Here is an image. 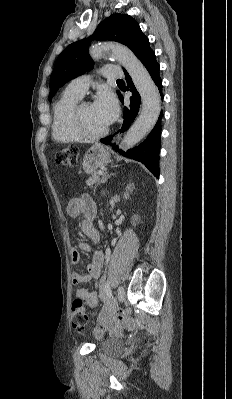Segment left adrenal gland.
I'll use <instances>...</instances> for the list:
<instances>
[{
  "label": "left adrenal gland",
  "mask_w": 232,
  "mask_h": 399,
  "mask_svg": "<svg viewBox=\"0 0 232 399\" xmlns=\"http://www.w3.org/2000/svg\"><path fill=\"white\" fill-rule=\"evenodd\" d=\"M108 178H110V176H108ZM108 178H105V182H106V180H108ZM102 184H104V182H102Z\"/></svg>",
  "instance_id": "1"
}]
</instances>
